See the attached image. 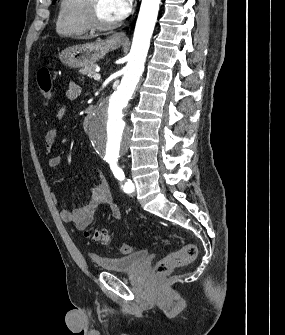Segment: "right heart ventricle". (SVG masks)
<instances>
[{
	"label": "right heart ventricle",
	"instance_id": "e07e8e85",
	"mask_svg": "<svg viewBox=\"0 0 285 335\" xmlns=\"http://www.w3.org/2000/svg\"><path fill=\"white\" fill-rule=\"evenodd\" d=\"M88 1H61L56 22L57 34L66 39H78L89 31Z\"/></svg>",
	"mask_w": 285,
	"mask_h": 335
}]
</instances>
